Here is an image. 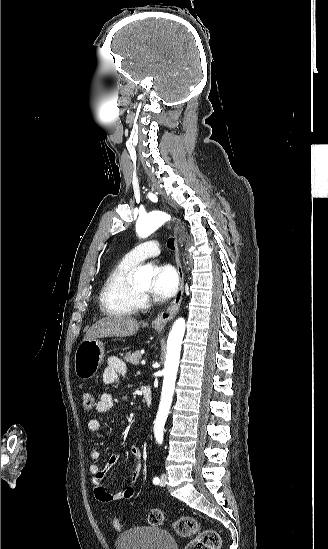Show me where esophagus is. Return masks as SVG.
<instances>
[{
  "label": "esophagus",
  "mask_w": 328,
  "mask_h": 549,
  "mask_svg": "<svg viewBox=\"0 0 328 549\" xmlns=\"http://www.w3.org/2000/svg\"><path fill=\"white\" fill-rule=\"evenodd\" d=\"M174 245H175V251H176L175 257H176L177 271H178V277H179V287L177 290V294L175 295V298L172 301V303L169 305V307L163 312H161V314H159L156 317V319L153 320L152 326L157 330H162L167 324V322H169V320H172L175 317V315L179 311L182 297H183L184 275H183V270L180 262L179 247H178L176 238H175Z\"/></svg>",
  "instance_id": "obj_1"
}]
</instances>
